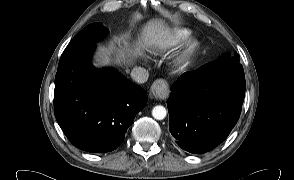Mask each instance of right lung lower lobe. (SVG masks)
<instances>
[{"label": "right lung lower lobe", "mask_w": 294, "mask_h": 180, "mask_svg": "<svg viewBox=\"0 0 294 180\" xmlns=\"http://www.w3.org/2000/svg\"><path fill=\"white\" fill-rule=\"evenodd\" d=\"M95 46L62 54L55 77L54 112L69 141L88 152H110L147 103V92L115 70L95 69Z\"/></svg>", "instance_id": "1"}]
</instances>
